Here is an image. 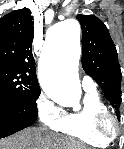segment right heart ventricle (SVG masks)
I'll list each match as a JSON object with an SVG mask.
<instances>
[{
	"label": "right heart ventricle",
	"mask_w": 124,
	"mask_h": 149,
	"mask_svg": "<svg viewBox=\"0 0 124 149\" xmlns=\"http://www.w3.org/2000/svg\"><path fill=\"white\" fill-rule=\"evenodd\" d=\"M108 108L96 91H85L79 109L65 112L55 131L94 148H105L110 140L102 137L96 130L95 119Z\"/></svg>",
	"instance_id": "e07e8e85"
}]
</instances>
